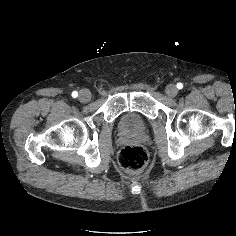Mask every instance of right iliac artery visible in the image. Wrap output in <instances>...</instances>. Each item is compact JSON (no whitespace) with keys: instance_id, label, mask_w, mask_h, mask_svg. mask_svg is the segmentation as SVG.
I'll list each match as a JSON object with an SVG mask.
<instances>
[{"instance_id":"1","label":"right iliac artery","mask_w":236,"mask_h":236,"mask_svg":"<svg viewBox=\"0 0 236 236\" xmlns=\"http://www.w3.org/2000/svg\"><path fill=\"white\" fill-rule=\"evenodd\" d=\"M77 96H78V92H77V91H73V92H72V97H73V98H76Z\"/></svg>"}]
</instances>
